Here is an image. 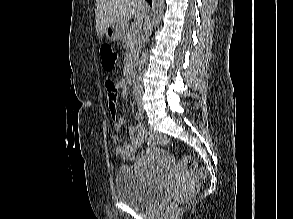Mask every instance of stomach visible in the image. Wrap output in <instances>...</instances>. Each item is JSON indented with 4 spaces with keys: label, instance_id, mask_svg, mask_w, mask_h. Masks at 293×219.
<instances>
[{
    "label": "stomach",
    "instance_id": "0dacf381",
    "mask_svg": "<svg viewBox=\"0 0 293 219\" xmlns=\"http://www.w3.org/2000/svg\"><path fill=\"white\" fill-rule=\"evenodd\" d=\"M126 33V26L113 23L105 30V35L110 41H119Z\"/></svg>",
    "mask_w": 293,
    "mask_h": 219
}]
</instances>
